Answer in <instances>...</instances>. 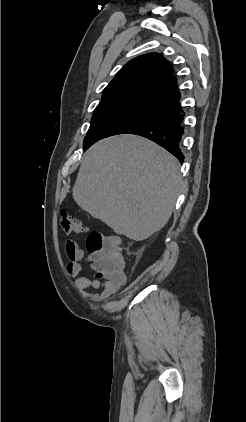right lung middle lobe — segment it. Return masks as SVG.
Segmentation results:
<instances>
[{
  "label": "right lung middle lobe",
  "instance_id": "dd1d6c3e",
  "mask_svg": "<svg viewBox=\"0 0 246 422\" xmlns=\"http://www.w3.org/2000/svg\"><path fill=\"white\" fill-rule=\"evenodd\" d=\"M159 108L142 106H98L93 113L91 125L84 139V149L105 137L126 134L154 120Z\"/></svg>",
  "mask_w": 246,
  "mask_h": 422
}]
</instances>
